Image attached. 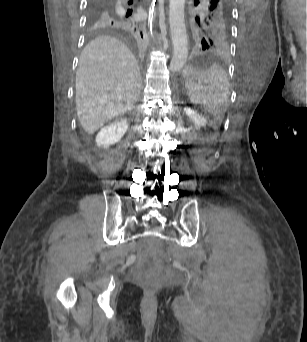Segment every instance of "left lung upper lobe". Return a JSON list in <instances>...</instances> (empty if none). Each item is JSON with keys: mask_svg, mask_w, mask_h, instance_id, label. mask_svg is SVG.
<instances>
[{"mask_svg": "<svg viewBox=\"0 0 307 342\" xmlns=\"http://www.w3.org/2000/svg\"><path fill=\"white\" fill-rule=\"evenodd\" d=\"M195 5L199 2L196 0ZM195 45L200 51L225 53L230 39V6L228 0H205L195 18Z\"/></svg>", "mask_w": 307, "mask_h": 342, "instance_id": "left-lung-upper-lobe-1", "label": "left lung upper lobe"}]
</instances>
